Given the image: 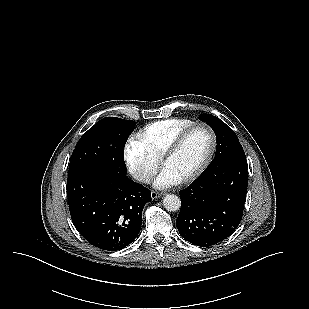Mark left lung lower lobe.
Wrapping results in <instances>:
<instances>
[{"label": "left lung lower lobe", "instance_id": "0a47b994", "mask_svg": "<svg viewBox=\"0 0 309 309\" xmlns=\"http://www.w3.org/2000/svg\"><path fill=\"white\" fill-rule=\"evenodd\" d=\"M247 185L245 153L210 164L197 180L179 192L181 209L176 225L180 235L200 247L229 237L242 219Z\"/></svg>", "mask_w": 309, "mask_h": 309}]
</instances>
